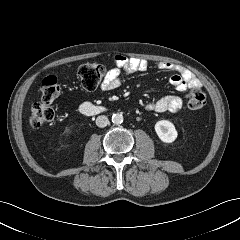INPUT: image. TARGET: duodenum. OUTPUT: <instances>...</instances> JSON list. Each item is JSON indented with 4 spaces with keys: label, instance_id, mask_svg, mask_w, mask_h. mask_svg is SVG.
<instances>
[{
    "label": "duodenum",
    "instance_id": "1",
    "mask_svg": "<svg viewBox=\"0 0 240 240\" xmlns=\"http://www.w3.org/2000/svg\"><path fill=\"white\" fill-rule=\"evenodd\" d=\"M100 111H101V108L90 101H86L82 103L80 106V112L82 114L91 115V114L99 113Z\"/></svg>",
    "mask_w": 240,
    "mask_h": 240
}]
</instances>
